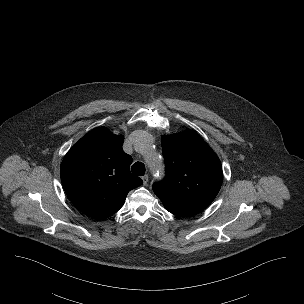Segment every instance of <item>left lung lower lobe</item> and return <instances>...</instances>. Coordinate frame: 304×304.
Listing matches in <instances>:
<instances>
[{"mask_svg":"<svg viewBox=\"0 0 304 304\" xmlns=\"http://www.w3.org/2000/svg\"><path fill=\"white\" fill-rule=\"evenodd\" d=\"M169 212H171L172 214H175V215H177V216H184V215H182V214H180V213H178V212H175V211H173V210H170V209H167Z\"/></svg>","mask_w":304,"mask_h":304,"instance_id":"1","label":"left lung lower lobe"}]
</instances>
